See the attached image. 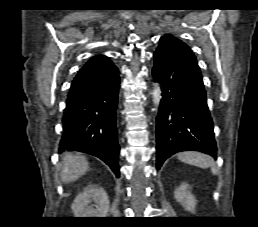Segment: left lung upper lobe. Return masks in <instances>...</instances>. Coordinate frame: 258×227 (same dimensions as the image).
Here are the masks:
<instances>
[{
  "instance_id": "5c2ea615",
  "label": "left lung upper lobe",
  "mask_w": 258,
  "mask_h": 227,
  "mask_svg": "<svg viewBox=\"0 0 258 227\" xmlns=\"http://www.w3.org/2000/svg\"><path fill=\"white\" fill-rule=\"evenodd\" d=\"M160 45H169V46L181 51L185 55L196 60V58H195L194 54L192 53V51L190 50V48L185 43H183L182 41L178 40L177 38H175L171 35H165V36L161 37Z\"/></svg>"
}]
</instances>
